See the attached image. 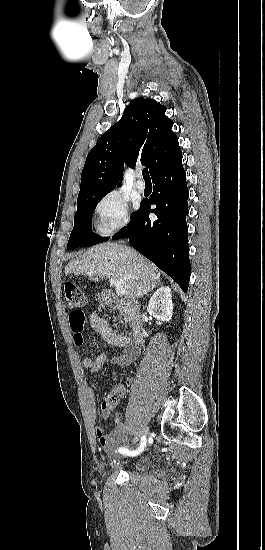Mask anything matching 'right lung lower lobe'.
I'll return each mask as SVG.
<instances>
[{
  "label": "right lung lower lobe",
  "instance_id": "right-lung-lower-lobe-1",
  "mask_svg": "<svg viewBox=\"0 0 265 550\" xmlns=\"http://www.w3.org/2000/svg\"><path fill=\"white\" fill-rule=\"evenodd\" d=\"M153 194L142 201L127 227L112 239L128 238L131 246L167 273L184 292L188 290L190 260L188 246L187 199L189 190L182 166V152L174 156L151 176ZM155 204V209H150ZM150 212L157 220L149 219Z\"/></svg>",
  "mask_w": 265,
  "mask_h": 550
}]
</instances>
